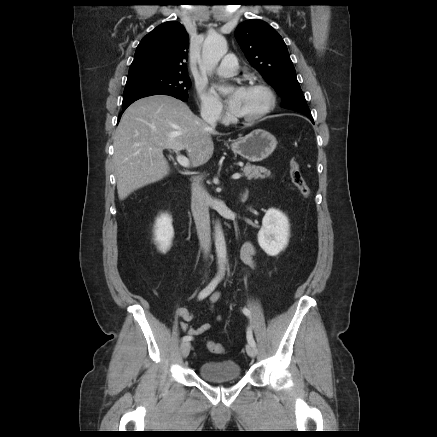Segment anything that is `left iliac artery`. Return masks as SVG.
Listing matches in <instances>:
<instances>
[{"mask_svg":"<svg viewBox=\"0 0 437 437\" xmlns=\"http://www.w3.org/2000/svg\"><path fill=\"white\" fill-rule=\"evenodd\" d=\"M242 311L247 317H249V318L251 317V312L249 309L243 308ZM247 340L251 345L256 346V343H255L253 335H252L251 327H249L247 330Z\"/></svg>","mask_w":437,"mask_h":437,"instance_id":"44dca946","label":"left iliac artery"}]
</instances>
